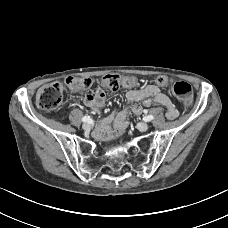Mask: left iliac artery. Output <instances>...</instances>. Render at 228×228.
<instances>
[{
	"label": "left iliac artery",
	"mask_w": 228,
	"mask_h": 228,
	"mask_svg": "<svg viewBox=\"0 0 228 228\" xmlns=\"http://www.w3.org/2000/svg\"><path fill=\"white\" fill-rule=\"evenodd\" d=\"M153 118L154 117L152 115H148L144 119H145V121H151V120H153Z\"/></svg>",
	"instance_id": "left-iliac-artery-1"
}]
</instances>
